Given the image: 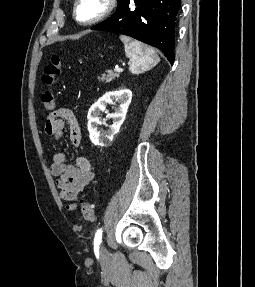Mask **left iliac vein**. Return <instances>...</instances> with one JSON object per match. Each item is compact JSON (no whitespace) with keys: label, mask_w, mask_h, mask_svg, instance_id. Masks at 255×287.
Returning <instances> with one entry per match:
<instances>
[{"label":"left iliac vein","mask_w":255,"mask_h":287,"mask_svg":"<svg viewBox=\"0 0 255 287\" xmlns=\"http://www.w3.org/2000/svg\"><path fill=\"white\" fill-rule=\"evenodd\" d=\"M106 249L104 248V246L101 247V253H105Z\"/></svg>","instance_id":"1"}]
</instances>
